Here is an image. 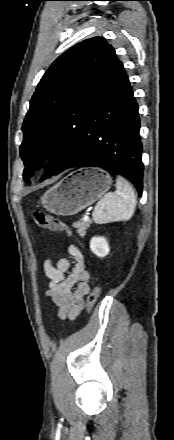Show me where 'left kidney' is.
<instances>
[{
    "label": "left kidney",
    "instance_id": "5707ae66",
    "mask_svg": "<svg viewBox=\"0 0 174 440\" xmlns=\"http://www.w3.org/2000/svg\"><path fill=\"white\" fill-rule=\"evenodd\" d=\"M90 249L98 257H105L110 251L108 242L104 237H93L90 241Z\"/></svg>",
    "mask_w": 174,
    "mask_h": 440
}]
</instances>
